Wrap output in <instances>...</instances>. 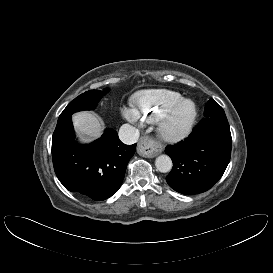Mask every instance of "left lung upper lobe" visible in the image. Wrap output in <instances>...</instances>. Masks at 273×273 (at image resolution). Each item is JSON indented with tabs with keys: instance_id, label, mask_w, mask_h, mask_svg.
Segmentation results:
<instances>
[{
	"instance_id": "1",
	"label": "left lung upper lobe",
	"mask_w": 273,
	"mask_h": 273,
	"mask_svg": "<svg viewBox=\"0 0 273 273\" xmlns=\"http://www.w3.org/2000/svg\"><path fill=\"white\" fill-rule=\"evenodd\" d=\"M204 116V119H226L223 108L213 99L205 105Z\"/></svg>"
}]
</instances>
